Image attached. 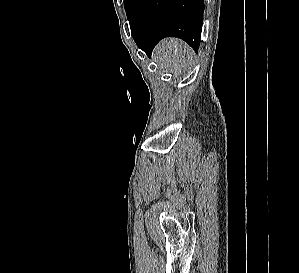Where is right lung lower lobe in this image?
<instances>
[{"instance_id":"right-lung-lower-lobe-1","label":"right lung lower lobe","mask_w":299,"mask_h":273,"mask_svg":"<svg viewBox=\"0 0 299 273\" xmlns=\"http://www.w3.org/2000/svg\"><path fill=\"white\" fill-rule=\"evenodd\" d=\"M204 8V0H135L129 15L132 36L148 57L169 36L198 50Z\"/></svg>"}]
</instances>
